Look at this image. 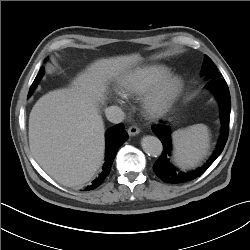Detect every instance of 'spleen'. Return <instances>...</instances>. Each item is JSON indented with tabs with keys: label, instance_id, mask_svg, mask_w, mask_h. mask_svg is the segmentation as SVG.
<instances>
[{
	"label": "spleen",
	"instance_id": "1",
	"mask_svg": "<svg viewBox=\"0 0 250 250\" xmlns=\"http://www.w3.org/2000/svg\"><path fill=\"white\" fill-rule=\"evenodd\" d=\"M173 161L182 169H190L208 154L210 147L209 129L204 124H195L179 129L172 134Z\"/></svg>",
	"mask_w": 250,
	"mask_h": 250
}]
</instances>
